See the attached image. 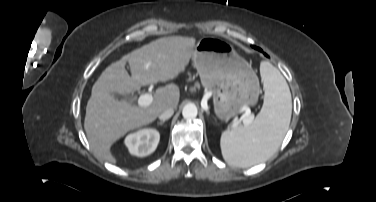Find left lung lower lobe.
I'll use <instances>...</instances> for the list:
<instances>
[{
    "instance_id": "1",
    "label": "left lung lower lobe",
    "mask_w": 376,
    "mask_h": 202,
    "mask_svg": "<svg viewBox=\"0 0 376 202\" xmlns=\"http://www.w3.org/2000/svg\"><path fill=\"white\" fill-rule=\"evenodd\" d=\"M254 48H256V49H258L259 51H261V49H260V48H258V47H255V46H254Z\"/></svg>"
}]
</instances>
